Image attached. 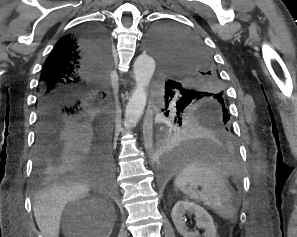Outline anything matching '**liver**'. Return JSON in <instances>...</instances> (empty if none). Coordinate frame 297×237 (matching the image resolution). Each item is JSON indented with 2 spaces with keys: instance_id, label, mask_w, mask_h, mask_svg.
<instances>
[{
  "instance_id": "6515ba94",
  "label": "liver",
  "mask_w": 297,
  "mask_h": 237,
  "mask_svg": "<svg viewBox=\"0 0 297 237\" xmlns=\"http://www.w3.org/2000/svg\"><path fill=\"white\" fill-rule=\"evenodd\" d=\"M88 181L87 176L75 174L35 195L33 212L42 237H59L61 215L66 204L90 191Z\"/></svg>"
}]
</instances>
